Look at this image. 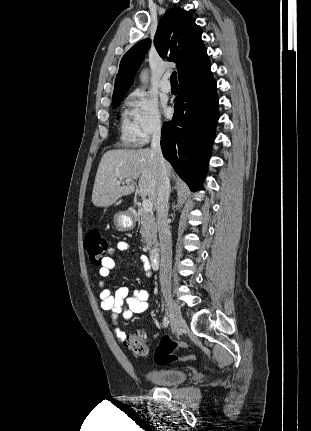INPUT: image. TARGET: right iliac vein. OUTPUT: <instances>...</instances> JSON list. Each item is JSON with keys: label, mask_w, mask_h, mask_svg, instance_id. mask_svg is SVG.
<instances>
[{"label": "right iliac vein", "mask_w": 311, "mask_h": 431, "mask_svg": "<svg viewBox=\"0 0 311 431\" xmlns=\"http://www.w3.org/2000/svg\"><path fill=\"white\" fill-rule=\"evenodd\" d=\"M165 301L167 303L169 312H170V321H171V327L172 331L175 334H179L180 330L183 326V319L180 313V309L177 305V303L172 299L170 294H165Z\"/></svg>", "instance_id": "1"}]
</instances>
